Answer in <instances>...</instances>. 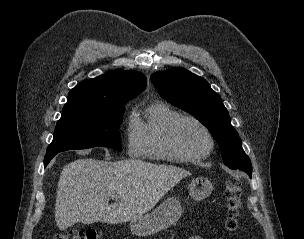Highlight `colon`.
<instances>
[{"label":"colon","instance_id":"obj_1","mask_svg":"<svg viewBox=\"0 0 304 239\" xmlns=\"http://www.w3.org/2000/svg\"><path fill=\"white\" fill-rule=\"evenodd\" d=\"M223 196L227 207L226 227L230 231H235L239 227L242 209V183L237 178L226 181L223 189ZM100 234L94 229L85 231L69 230L57 233L54 239H99Z\"/></svg>","mask_w":304,"mask_h":239}]
</instances>
